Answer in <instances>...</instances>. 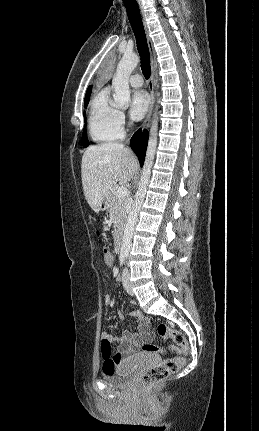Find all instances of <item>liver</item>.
I'll list each match as a JSON object with an SVG mask.
<instances>
[{
    "label": "liver",
    "instance_id": "6515ba94",
    "mask_svg": "<svg viewBox=\"0 0 259 431\" xmlns=\"http://www.w3.org/2000/svg\"><path fill=\"white\" fill-rule=\"evenodd\" d=\"M135 155L120 143L88 147L82 157L81 177L85 198L96 213L117 184L128 183L138 170Z\"/></svg>",
    "mask_w": 259,
    "mask_h": 431
}]
</instances>
